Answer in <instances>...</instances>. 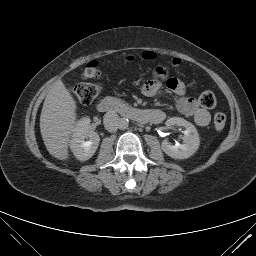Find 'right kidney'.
<instances>
[{"instance_id":"1","label":"right kidney","mask_w":256,"mask_h":256,"mask_svg":"<svg viewBox=\"0 0 256 256\" xmlns=\"http://www.w3.org/2000/svg\"><path fill=\"white\" fill-rule=\"evenodd\" d=\"M89 126V118L84 117L79 120L76 123L70 141V148L73 154L81 161L90 159L96 152L100 142L99 135L91 130Z\"/></svg>"}]
</instances>
